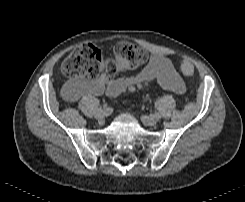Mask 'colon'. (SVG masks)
Returning a JSON list of instances; mask_svg holds the SVG:
<instances>
[{
    "instance_id": "1",
    "label": "colon",
    "mask_w": 245,
    "mask_h": 202,
    "mask_svg": "<svg viewBox=\"0 0 245 202\" xmlns=\"http://www.w3.org/2000/svg\"><path fill=\"white\" fill-rule=\"evenodd\" d=\"M103 55L92 44H82L74 49L62 64V72L68 77L64 84L63 95L68 97L80 78H96L101 71ZM148 60V54L143 48L130 41H119L115 46V57L106 67L107 74L114 76L124 71H132L143 67ZM181 71L184 75L193 72L190 62L183 64Z\"/></svg>"
}]
</instances>
